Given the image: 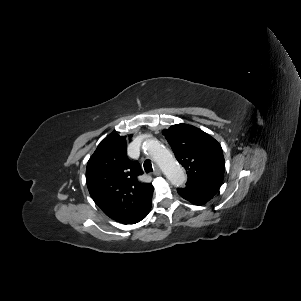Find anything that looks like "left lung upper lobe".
Here are the masks:
<instances>
[{
	"mask_svg": "<svg viewBox=\"0 0 301 301\" xmlns=\"http://www.w3.org/2000/svg\"><path fill=\"white\" fill-rule=\"evenodd\" d=\"M163 135L186 169V187L216 194L225 170L221 145L204 131L187 124L173 125Z\"/></svg>",
	"mask_w": 301,
	"mask_h": 301,
	"instance_id": "obj_1",
	"label": "left lung upper lobe"
}]
</instances>
